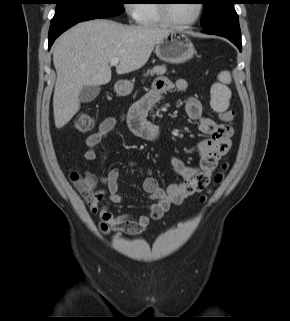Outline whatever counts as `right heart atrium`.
Returning a JSON list of instances; mask_svg holds the SVG:
<instances>
[{
	"instance_id": "1",
	"label": "right heart atrium",
	"mask_w": 290,
	"mask_h": 321,
	"mask_svg": "<svg viewBox=\"0 0 290 321\" xmlns=\"http://www.w3.org/2000/svg\"><path fill=\"white\" fill-rule=\"evenodd\" d=\"M125 12L131 19H137L136 5H133L130 1L125 4Z\"/></svg>"
}]
</instances>
